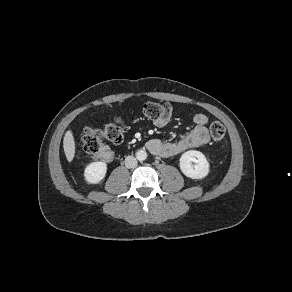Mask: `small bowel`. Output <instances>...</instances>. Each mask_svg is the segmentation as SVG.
Returning <instances> with one entry per match:
<instances>
[{
	"label": "small bowel",
	"instance_id": "c3829d8e",
	"mask_svg": "<svg viewBox=\"0 0 292 292\" xmlns=\"http://www.w3.org/2000/svg\"><path fill=\"white\" fill-rule=\"evenodd\" d=\"M208 117L205 114L198 113L193 117L194 127L191 131L180 136L173 142H164L160 139H152L147 143V148L151 153L161 157H172L188 149L197 148L207 144L210 140L208 133ZM158 127L167 124L166 120L155 121Z\"/></svg>",
	"mask_w": 292,
	"mask_h": 292
}]
</instances>
